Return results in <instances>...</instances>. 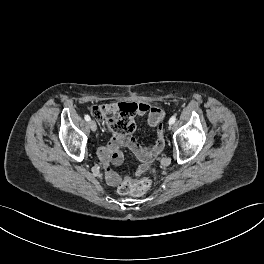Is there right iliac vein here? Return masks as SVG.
Segmentation results:
<instances>
[{
	"label": "right iliac vein",
	"instance_id": "obj_1",
	"mask_svg": "<svg viewBox=\"0 0 264 264\" xmlns=\"http://www.w3.org/2000/svg\"><path fill=\"white\" fill-rule=\"evenodd\" d=\"M89 126H90V129L95 132L97 130V125H96V122L91 120L89 121Z\"/></svg>",
	"mask_w": 264,
	"mask_h": 264
}]
</instances>
